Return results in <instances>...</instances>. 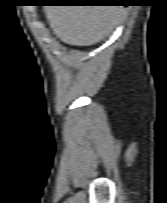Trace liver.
I'll return each mask as SVG.
<instances>
[{
    "label": "liver",
    "mask_w": 167,
    "mask_h": 203,
    "mask_svg": "<svg viewBox=\"0 0 167 203\" xmlns=\"http://www.w3.org/2000/svg\"><path fill=\"white\" fill-rule=\"evenodd\" d=\"M54 34L64 43L90 46L110 34L123 15L121 6L50 5L44 8Z\"/></svg>",
    "instance_id": "liver-1"
}]
</instances>
